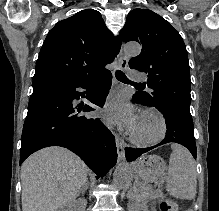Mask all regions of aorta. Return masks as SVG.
I'll return each instance as SVG.
<instances>
[{"instance_id": "aorta-1", "label": "aorta", "mask_w": 219, "mask_h": 211, "mask_svg": "<svg viewBox=\"0 0 219 211\" xmlns=\"http://www.w3.org/2000/svg\"><path fill=\"white\" fill-rule=\"evenodd\" d=\"M141 47L137 43H129L124 46V54L127 57L137 56ZM132 176L129 166L126 163L117 165L113 174V183L117 189H123L129 186Z\"/></svg>"}]
</instances>
